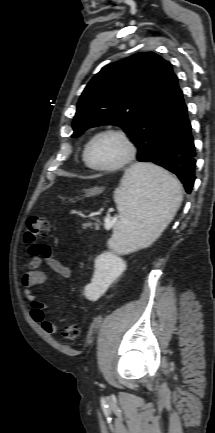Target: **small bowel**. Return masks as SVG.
<instances>
[{
  "label": "small bowel",
  "mask_w": 215,
  "mask_h": 433,
  "mask_svg": "<svg viewBox=\"0 0 215 433\" xmlns=\"http://www.w3.org/2000/svg\"><path fill=\"white\" fill-rule=\"evenodd\" d=\"M30 252L33 257L28 263V270L21 279L24 293L31 306L32 318L41 324L47 334L54 335L56 328L46 318V305L37 298L33 288L46 283L47 274L43 270L44 267H49L62 278H69L71 271L68 266L54 257V249L49 245L35 244L30 248Z\"/></svg>",
  "instance_id": "small-bowel-1"
}]
</instances>
